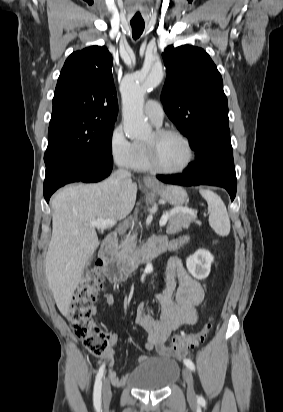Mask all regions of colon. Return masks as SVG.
I'll list each match as a JSON object with an SVG mask.
<instances>
[{
    "mask_svg": "<svg viewBox=\"0 0 283 412\" xmlns=\"http://www.w3.org/2000/svg\"><path fill=\"white\" fill-rule=\"evenodd\" d=\"M102 281V268L100 263L96 262L74 291L65 309L74 336L95 356H101L106 352L112 337L111 333L98 326L93 319L92 305ZM212 326L213 319L210 318L201 331L172 337V350L185 352L198 346L204 342Z\"/></svg>",
    "mask_w": 283,
    "mask_h": 412,
    "instance_id": "1",
    "label": "colon"
}]
</instances>
